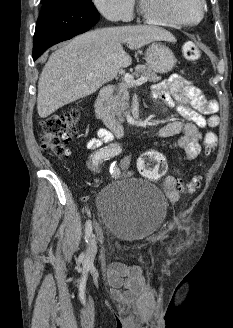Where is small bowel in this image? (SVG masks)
I'll return each mask as SVG.
<instances>
[{
  "label": "small bowel",
  "instance_id": "small-bowel-1",
  "mask_svg": "<svg viewBox=\"0 0 233 328\" xmlns=\"http://www.w3.org/2000/svg\"><path fill=\"white\" fill-rule=\"evenodd\" d=\"M151 92L154 98L161 99L167 107L175 109L182 117L163 126L157 132V137L178 136L174 146L183 151L185 159L197 158L201 152V129L219 124L217 102L207 99L197 86L179 74H173L155 84ZM113 140L114 135L110 131L100 128L96 136L88 140L87 147L101 151L109 147ZM130 161V157L121 161V168L126 174H130ZM164 191L170 201L179 200L177 180L173 176L165 178ZM106 277L111 294L117 301L132 302L145 291V279L137 265L113 263L108 267Z\"/></svg>",
  "mask_w": 233,
  "mask_h": 328
}]
</instances>
